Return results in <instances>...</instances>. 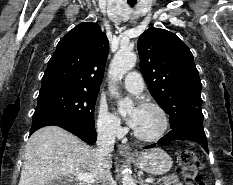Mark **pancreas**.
<instances>
[{
  "mask_svg": "<svg viewBox=\"0 0 233 185\" xmlns=\"http://www.w3.org/2000/svg\"><path fill=\"white\" fill-rule=\"evenodd\" d=\"M179 181L177 175H171V176H164L158 179V183L160 185H178L177 182Z\"/></svg>",
  "mask_w": 233,
  "mask_h": 185,
  "instance_id": "1",
  "label": "pancreas"
}]
</instances>
